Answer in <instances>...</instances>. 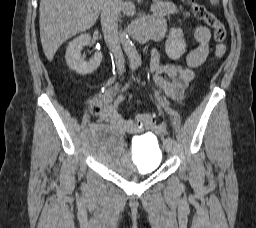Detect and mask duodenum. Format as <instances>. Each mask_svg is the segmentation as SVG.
I'll list each match as a JSON object with an SVG mask.
<instances>
[{
    "label": "duodenum",
    "mask_w": 256,
    "mask_h": 228,
    "mask_svg": "<svg viewBox=\"0 0 256 228\" xmlns=\"http://www.w3.org/2000/svg\"><path fill=\"white\" fill-rule=\"evenodd\" d=\"M131 35L136 41L144 43L149 39H160L162 33L154 24L145 20L136 24L131 29Z\"/></svg>",
    "instance_id": "1"
}]
</instances>
